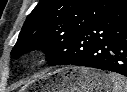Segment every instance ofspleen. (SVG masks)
I'll list each match as a JSON object with an SVG mask.
<instances>
[{
    "mask_svg": "<svg viewBox=\"0 0 127 92\" xmlns=\"http://www.w3.org/2000/svg\"><path fill=\"white\" fill-rule=\"evenodd\" d=\"M108 77L113 83L112 92H127V79L125 77L115 73H110Z\"/></svg>",
    "mask_w": 127,
    "mask_h": 92,
    "instance_id": "spleen-1",
    "label": "spleen"
}]
</instances>
